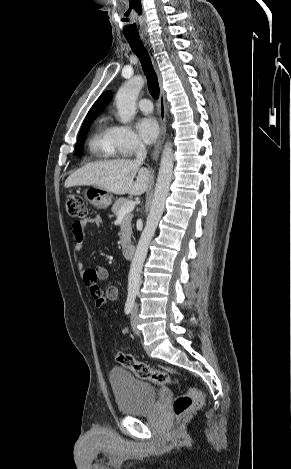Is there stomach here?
I'll return each instance as SVG.
<instances>
[{
	"instance_id": "stomach-1",
	"label": "stomach",
	"mask_w": 291,
	"mask_h": 469,
	"mask_svg": "<svg viewBox=\"0 0 291 469\" xmlns=\"http://www.w3.org/2000/svg\"><path fill=\"white\" fill-rule=\"evenodd\" d=\"M85 199L94 207L106 209L112 204L113 196L108 190L91 186L85 190Z\"/></svg>"
}]
</instances>
